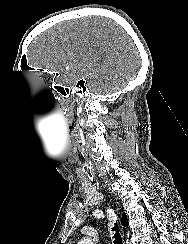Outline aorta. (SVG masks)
I'll use <instances>...</instances> for the list:
<instances>
[{"label":"aorta","instance_id":"aorta-1","mask_svg":"<svg viewBox=\"0 0 188 244\" xmlns=\"http://www.w3.org/2000/svg\"><path fill=\"white\" fill-rule=\"evenodd\" d=\"M78 244H93L90 238H84Z\"/></svg>","mask_w":188,"mask_h":244}]
</instances>
